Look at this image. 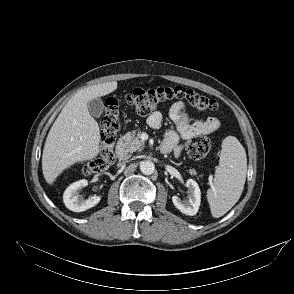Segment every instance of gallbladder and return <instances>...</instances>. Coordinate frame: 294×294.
Wrapping results in <instances>:
<instances>
[{
  "label": "gallbladder",
  "instance_id": "obj_1",
  "mask_svg": "<svg viewBox=\"0 0 294 294\" xmlns=\"http://www.w3.org/2000/svg\"><path fill=\"white\" fill-rule=\"evenodd\" d=\"M87 108L93 117L99 118L103 112L104 103L100 98H94L87 103Z\"/></svg>",
  "mask_w": 294,
  "mask_h": 294
}]
</instances>
